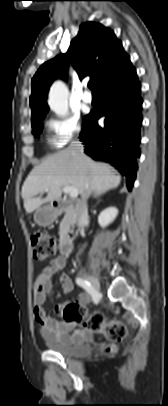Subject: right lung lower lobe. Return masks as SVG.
Masks as SVG:
<instances>
[{
	"label": "right lung lower lobe",
	"instance_id": "right-lung-lower-lobe-1",
	"mask_svg": "<svg viewBox=\"0 0 168 406\" xmlns=\"http://www.w3.org/2000/svg\"><path fill=\"white\" fill-rule=\"evenodd\" d=\"M140 92L141 85L131 65L98 89L101 107L85 117L80 134L85 153L116 167L126 176L128 190L133 187L140 156ZM101 117H105L104 126L97 123Z\"/></svg>",
	"mask_w": 168,
	"mask_h": 406
}]
</instances>
